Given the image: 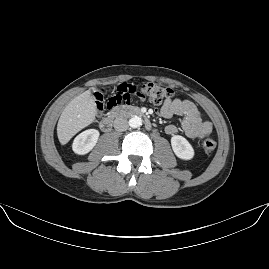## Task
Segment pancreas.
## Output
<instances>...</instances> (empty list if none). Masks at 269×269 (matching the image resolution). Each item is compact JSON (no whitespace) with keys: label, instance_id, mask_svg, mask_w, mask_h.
<instances>
[{"label":"pancreas","instance_id":"cf45deb5","mask_svg":"<svg viewBox=\"0 0 269 269\" xmlns=\"http://www.w3.org/2000/svg\"><path fill=\"white\" fill-rule=\"evenodd\" d=\"M129 109H131V110H139L138 107H133V106H129Z\"/></svg>","mask_w":269,"mask_h":269}]
</instances>
